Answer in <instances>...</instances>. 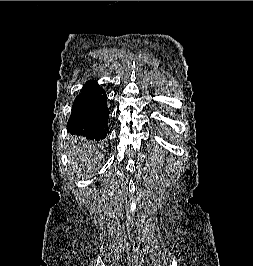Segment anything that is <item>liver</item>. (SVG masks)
<instances>
[{
	"mask_svg": "<svg viewBox=\"0 0 253 266\" xmlns=\"http://www.w3.org/2000/svg\"><path fill=\"white\" fill-rule=\"evenodd\" d=\"M95 155L99 156V149L94 142L81 137L73 138L70 156L76 163H79L80 166H83L84 163L90 166L95 162V158L93 159Z\"/></svg>",
	"mask_w": 253,
	"mask_h": 266,
	"instance_id": "6515ba94",
	"label": "liver"
}]
</instances>
